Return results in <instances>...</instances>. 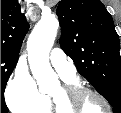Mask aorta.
I'll list each match as a JSON object with an SVG mask.
<instances>
[{
	"mask_svg": "<svg viewBox=\"0 0 121 113\" xmlns=\"http://www.w3.org/2000/svg\"><path fill=\"white\" fill-rule=\"evenodd\" d=\"M58 27L59 22L55 15H43L28 38L29 65L41 92H48L58 82V77L49 63V53Z\"/></svg>",
	"mask_w": 121,
	"mask_h": 113,
	"instance_id": "1",
	"label": "aorta"
}]
</instances>
